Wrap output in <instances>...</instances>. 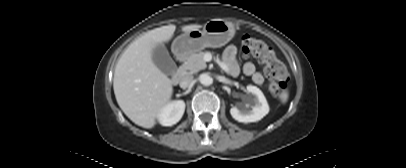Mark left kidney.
<instances>
[{"mask_svg": "<svg viewBox=\"0 0 406 168\" xmlns=\"http://www.w3.org/2000/svg\"><path fill=\"white\" fill-rule=\"evenodd\" d=\"M247 91L252 94V98L249 99L248 105L242 109L232 107L230 109V114L238 122H257L268 114L269 106L264 94L259 88L253 85H248Z\"/></svg>", "mask_w": 406, "mask_h": 168, "instance_id": "1", "label": "left kidney"}]
</instances>
